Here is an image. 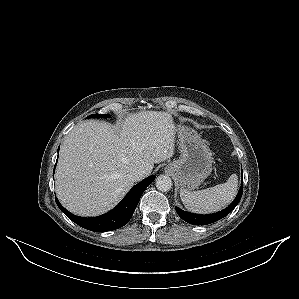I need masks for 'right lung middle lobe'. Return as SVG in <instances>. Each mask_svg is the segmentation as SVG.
I'll list each match as a JSON object with an SVG mask.
<instances>
[{
  "label": "right lung middle lobe",
  "instance_id": "right-lung-middle-lobe-1",
  "mask_svg": "<svg viewBox=\"0 0 299 299\" xmlns=\"http://www.w3.org/2000/svg\"><path fill=\"white\" fill-rule=\"evenodd\" d=\"M88 117L109 118L110 116L108 114H92Z\"/></svg>",
  "mask_w": 299,
  "mask_h": 299
}]
</instances>
